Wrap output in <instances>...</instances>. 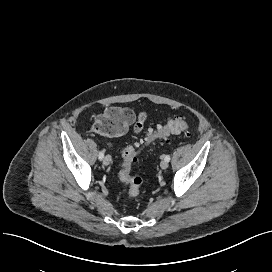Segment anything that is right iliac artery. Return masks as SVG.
<instances>
[{"instance_id":"obj_1","label":"right iliac artery","mask_w":272,"mask_h":272,"mask_svg":"<svg viewBox=\"0 0 272 272\" xmlns=\"http://www.w3.org/2000/svg\"><path fill=\"white\" fill-rule=\"evenodd\" d=\"M98 157H99L100 160L103 159V157H104V151H103V150H101V151L99 152Z\"/></svg>"}]
</instances>
